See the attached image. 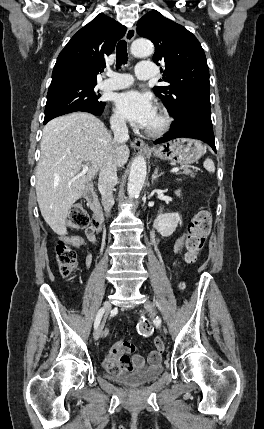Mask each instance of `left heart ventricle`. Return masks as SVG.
<instances>
[{"label": "left heart ventricle", "mask_w": 264, "mask_h": 429, "mask_svg": "<svg viewBox=\"0 0 264 429\" xmlns=\"http://www.w3.org/2000/svg\"><path fill=\"white\" fill-rule=\"evenodd\" d=\"M158 123H159V119H158L157 115H155L147 127H155L158 125Z\"/></svg>", "instance_id": "1"}]
</instances>
